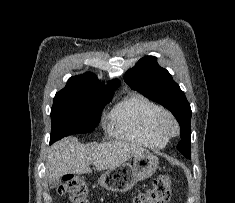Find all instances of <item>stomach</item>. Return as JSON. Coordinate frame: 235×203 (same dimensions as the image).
Listing matches in <instances>:
<instances>
[{
    "mask_svg": "<svg viewBox=\"0 0 235 203\" xmlns=\"http://www.w3.org/2000/svg\"><path fill=\"white\" fill-rule=\"evenodd\" d=\"M158 168V158L144 152L134 156L133 165L124 163L103 173L98 183L113 192H127L138 181L151 177Z\"/></svg>",
    "mask_w": 235,
    "mask_h": 203,
    "instance_id": "stomach-1",
    "label": "stomach"
}]
</instances>
